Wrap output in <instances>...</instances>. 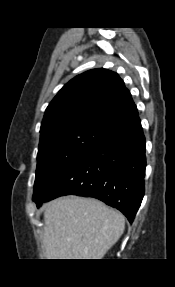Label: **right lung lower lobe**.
<instances>
[{
	"instance_id": "98d812e1",
	"label": "right lung lower lobe",
	"mask_w": 175,
	"mask_h": 287,
	"mask_svg": "<svg viewBox=\"0 0 175 287\" xmlns=\"http://www.w3.org/2000/svg\"><path fill=\"white\" fill-rule=\"evenodd\" d=\"M145 137L138 113L121 120L40 195L38 207L63 195L97 198L133 222L144 196Z\"/></svg>"
}]
</instances>
